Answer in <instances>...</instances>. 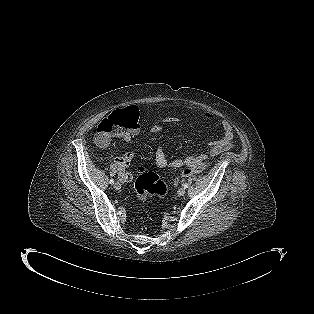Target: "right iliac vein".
Listing matches in <instances>:
<instances>
[{"mask_svg": "<svg viewBox=\"0 0 314 314\" xmlns=\"http://www.w3.org/2000/svg\"><path fill=\"white\" fill-rule=\"evenodd\" d=\"M120 188H121V184L119 182H115L114 183V189L115 190H120Z\"/></svg>", "mask_w": 314, "mask_h": 314, "instance_id": "obj_1", "label": "right iliac vein"}]
</instances>
